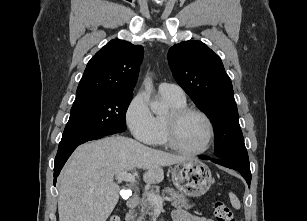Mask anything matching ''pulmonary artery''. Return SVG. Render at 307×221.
<instances>
[{"mask_svg": "<svg viewBox=\"0 0 307 221\" xmlns=\"http://www.w3.org/2000/svg\"><path fill=\"white\" fill-rule=\"evenodd\" d=\"M158 91L162 96L179 101L185 100V93L183 89L176 84L163 82L159 85Z\"/></svg>", "mask_w": 307, "mask_h": 221, "instance_id": "obj_1", "label": "pulmonary artery"}]
</instances>
